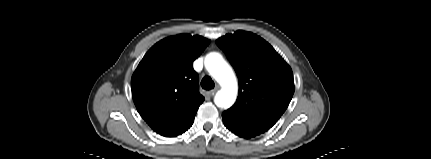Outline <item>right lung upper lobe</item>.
<instances>
[{"label": "right lung upper lobe", "instance_id": "1", "mask_svg": "<svg viewBox=\"0 0 431 159\" xmlns=\"http://www.w3.org/2000/svg\"><path fill=\"white\" fill-rule=\"evenodd\" d=\"M209 43L199 35L165 38L150 48L136 68L131 80L135 106L160 135L175 137L193 124L204 97L192 64Z\"/></svg>", "mask_w": 431, "mask_h": 159}]
</instances>
